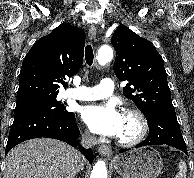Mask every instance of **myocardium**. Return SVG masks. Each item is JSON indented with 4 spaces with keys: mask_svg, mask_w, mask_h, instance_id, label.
<instances>
[{
    "mask_svg": "<svg viewBox=\"0 0 194 178\" xmlns=\"http://www.w3.org/2000/svg\"><path fill=\"white\" fill-rule=\"evenodd\" d=\"M123 115L129 116L135 119L138 125V130H137V133L133 137L128 138V139L118 137L116 141L119 145L124 146V147L135 146L139 144L140 142H142L144 138L146 137L148 133V129H149L148 121L145 115L141 111L135 108L125 109L123 111Z\"/></svg>",
    "mask_w": 194,
    "mask_h": 178,
    "instance_id": "obj_1",
    "label": "myocardium"
}]
</instances>
